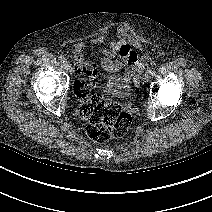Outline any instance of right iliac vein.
<instances>
[{"label":"right iliac vein","mask_w":212,"mask_h":212,"mask_svg":"<svg viewBox=\"0 0 212 212\" xmlns=\"http://www.w3.org/2000/svg\"><path fill=\"white\" fill-rule=\"evenodd\" d=\"M64 67H65V69H66L67 71L71 70V65H70V63H68V62H65V63H64Z\"/></svg>","instance_id":"obj_1"}]
</instances>
